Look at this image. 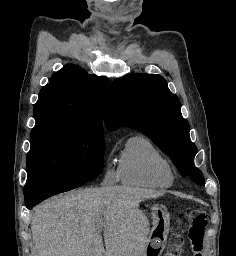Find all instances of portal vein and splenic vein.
Segmentation results:
<instances>
[{"label":"portal vein and splenic vein","mask_w":236,"mask_h":256,"mask_svg":"<svg viewBox=\"0 0 236 256\" xmlns=\"http://www.w3.org/2000/svg\"><path fill=\"white\" fill-rule=\"evenodd\" d=\"M100 218H101V216H97V218H96L97 222H100Z\"/></svg>","instance_id":"obj_1"}]
</instances>
